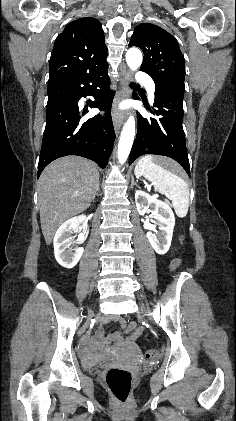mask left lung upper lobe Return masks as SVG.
Wrapping results in <instances>:
<instances>
[{
  "instance_id": "1",
  "label": "left lung upper lobe",
  "mask_w": 236,
  "mask_h": 421,
  "mask_svg": "<svg viewBox=\"0 0 236 421\" xmlns=\"http://www.w3.org/2000/svg\"><path fill=\"white\" fill-rule=\"evenodd\" d=\"M129 46L144 53L140 70L152 77L157 86L173 87L184 93V57L176 39L161 27L142 23L132 34Z\"/></svg>"
}]
</instances>
